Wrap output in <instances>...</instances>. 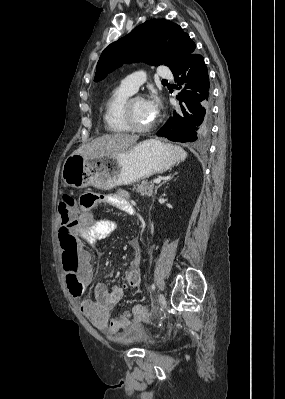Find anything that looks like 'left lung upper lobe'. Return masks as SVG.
<instances>
[{
	"instance_id": "obj_1",
	"label": "left lung upper lobe",
	"mask_w": 285,
	"mask_h": 399,
	"mask_svg": "<svg viewBox=\"0 0 285 399\" xmlns=\"http://www.w3.org/2000/svg\"><path fill=\"white\" fill-rule=\"evenodd\" d=\"M195 48V43L179 25L166 19H151L104 49L95 81L102 80L125 62L145 60L151 65H167L173 72Z\"/></svg>"
}]
</instances>
